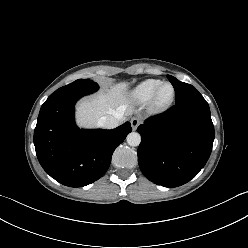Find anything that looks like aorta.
Here are the masks:
<instances>
[{
	"mask_svg": "<svg viewBox=\"0 0 248 248\" xmlns=\"http://www.w3.org/2000/svg\"><path fill=\"white\" fill-rule=\"evenodd\" d=\"M127 143L130 146H138L141 142V136L137 132H131L127 136Z\"/></svg>",
	"mask_w": 248,
	"mask_h": 248,
	"instance_id": "aorta-1",
	"label": "aorta"
}]
</instances>
